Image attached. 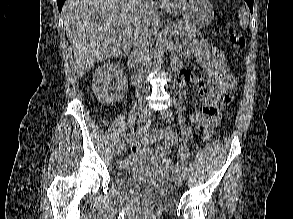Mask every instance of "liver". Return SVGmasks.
Returning <instances> with one entry per match:
<instances>
[{
    "label": "liver",
    "instance_id": "obj_1",
    "mask_svg": "<svg viewBox=\"0 0 293 219\" xmlns=\"http://www.w3.org/2000/svg\"><path fill=\"white\" fill-rule=\"evenodd\" d=\"M135 1L66 0L62 15L78 77L100 61L128 55L137 19L148 29L155 17V3L148 0L147 6L139 8Z\"/></svg>",
    "mask_w": 293,
    "mask_h": 219
}]
</instances>
